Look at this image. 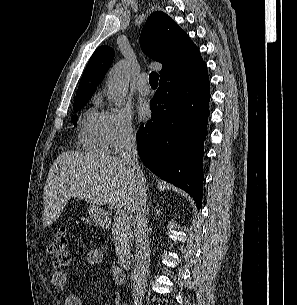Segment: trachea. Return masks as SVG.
<instances>
[{"mask_svg":"<svg viewBox=\"0 0 297 305\" xmlns=\"http://www.w3.org/2000/svg\"><path fill=\"white\" fill-rule=\"evenodd\" d=\"M159 80V75L155 72H151L149 75V83L151 86H157Z\"/></svg>","mask_w":297,"mask_h":305,"instance_id":"3493384b","label":"trachea"}]
</instances>
